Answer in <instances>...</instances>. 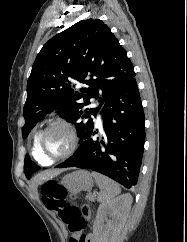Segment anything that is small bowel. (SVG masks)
Wrapping results in <instances>:
<instances>
[{
    "label": "small bowel",
    "instance_id": "c3829d8e",
    "mask_svg": "<svg viewBox=\"0 0 187 242\" xmlns=\"http://www.w3.org/2000/svg\"><path fill=\"white\" fill-rule=\"evenodd\" d=\"M88 238H89V242H95L93 236H88Z\"/></svg>",
    "mask_w": 187,
    "mask_h": 242
}]
</instances>
